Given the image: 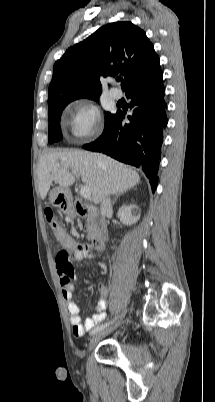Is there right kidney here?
I'll return each instance as SVG.
<instances>
[{
  "label": "right kidney",
  "instance_id": "right-kidney-1",
  "mask_svg": "<svg viewBox=\"0 0 215 402\" xmlns=\"http://www.w3.org/2000/svg\"><path fill=\"white\" fill-rule=\"evenodd\" d=\"M136 208L137 207L135 205H122L117 213L120 221L125 225L136 223L140 218V214L135 210Z\"/></svg>",
  "mask_w": 215,
  "mask_h": 402
}]
</instances>
